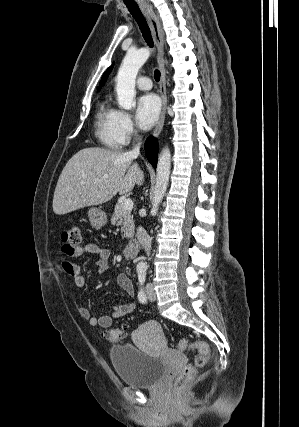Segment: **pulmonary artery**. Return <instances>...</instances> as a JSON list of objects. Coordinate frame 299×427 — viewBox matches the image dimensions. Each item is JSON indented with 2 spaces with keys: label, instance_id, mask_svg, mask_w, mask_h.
Here are the masks:
<instances>
[{
  "label": "pulmonary artery",
  "instance_id": "e3ab8cb5",
  "mask_svg": "<svg viewBox=\"0 0 299 427\" xmlns=\"http://www.w3.org/2000/svg\"><path fill=\"white\" fill-rule=\"evenodd\" d=\"M137 87L141 90H149L152 87V82L149 77L141 76L136 81Z\"/></svg>",
  "mask_w": 299,
  "mask_h": 427
}]
</instances>
